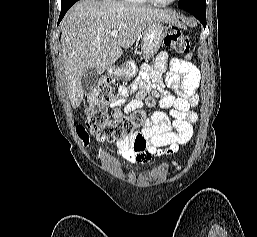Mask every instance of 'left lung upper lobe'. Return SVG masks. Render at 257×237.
Listing matches in <instances>:
<instances>
[{
	"label": "left lung upper lobe",
	"instance_id": "5c2ea615",
	"mask_svg": "<svg viewBox=\"0 0 257 237\" xmlns=\"http://www.w3.org/2000/svg\"><path fill=\"white\" fill-rule=\"evenodd\" d=\"M178 7L181 9L193 8L206 10V0H179Z\"/></svg>",
	"mask_w": 257,
	"mask_h": 237
}]
</instances>
